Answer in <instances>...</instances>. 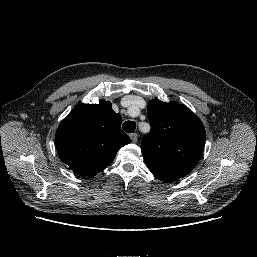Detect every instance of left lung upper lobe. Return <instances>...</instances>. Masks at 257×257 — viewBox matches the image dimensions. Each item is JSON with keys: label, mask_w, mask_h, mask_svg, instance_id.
Instances as JSON below:
<instances>
[{"label": "left lung upper lobe", "mask_w": 257, "mask_h": 257, "mask_svg": "<svg viewBox=\"0 0 257 257\" xmlns=\"http://www.w3.org/2000/svg\"><path fill=\"white\" fill-rule=\"evenodd\" d=\"M151 130L142 155L151 172L182 178L198 163L206 139L201 120L185 105L157 99L147 106Z\"/></svg>", "instance_id": "left-lung-upper-lobe-1"}]
</instances>
